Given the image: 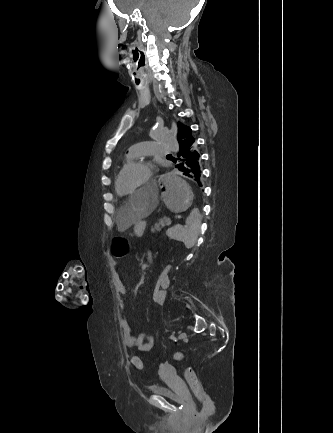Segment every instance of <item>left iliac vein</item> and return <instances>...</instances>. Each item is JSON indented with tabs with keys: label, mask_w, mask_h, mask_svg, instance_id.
<instances>
[{
	"label": "left iliac vein",
	"mask_w": 333,
	"mask_h": 433,
	"mask_svg": "<svg viewBox=\"0 0 333 433\" xmlns=\"http://www.w3.org/2000/svg\"><path fill=\"white\" fill-rule=\"evenodd\" d=\"M185 338H186V333H180L179 339H185Z\"/></svg>",
	"instance_id": "4c4485c4"
}]
</instances>
